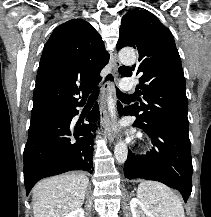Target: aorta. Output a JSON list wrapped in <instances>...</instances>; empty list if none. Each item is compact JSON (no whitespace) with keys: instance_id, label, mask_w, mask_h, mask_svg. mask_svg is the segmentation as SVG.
I'll return each mask as SVG.
<instances>
[{"instance_id":"762f6f07","label":"aorta","mask_w":211,"mask_h":217,"mask_svg":"<svg viewBox=\"0 0 211 217\" xmlns=\"http://www.w3.org/2000/svg\"><path fill=\"white\" fill-rule=\"evenodd\" d=\"M118 56L120 61L126 65H133L136 62V58H137L135 50L130 48L120 50ZM107 106L111 118H115L116 117L115 100L113 98L112 91L109 92V96L107 99ZM127 154H128L127 145L123 141H119L114 148V155L116 160L119 163H124L127 159Z\"/></svg>"}]
</instances>
